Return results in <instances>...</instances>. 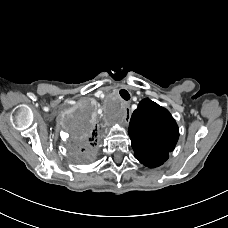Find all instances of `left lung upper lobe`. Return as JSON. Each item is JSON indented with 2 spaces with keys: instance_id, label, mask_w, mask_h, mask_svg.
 Returning <instances> with one entry per match:
<instances>
[{
  "instance_id": "5c2ea615",
  "label": "left lung upper lobe",
  "mask_w": 228,
  "mask_h": 228,
  "mask_svg": "<svg viewBox=\"0 0 228 228\" xmlns=\"http://www.w3.org/2000/svg\"><path fill=\"white\" fill-rule=\"evenodd\" d=\"M128 133L135 158L151 168L168 159L179 138L172 115L149 98L139 102L131 116Z\"/></svg>"
}]
</instances>
